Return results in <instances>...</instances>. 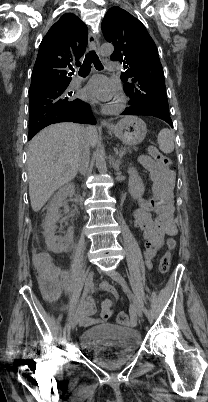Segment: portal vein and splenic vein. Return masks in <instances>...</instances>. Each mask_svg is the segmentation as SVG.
<instances>
[{
	"mask_svg": "<svg viewBox=\"0 0 208 402\" xmlns=\"http://www.w3.org/2000/svg\"><path fill=\"white\" fill-rule=\"evenodd\" d=\"M115 154L118 155L119 157H122V156H123V153H122L121 151H119V150H116V151H115Z\"/></svg>",
	"mask_w": 208,
	"mask_h": 402,
	"instance_id": "portal-vein-and-splenic-vein-1",
	"label": "portal vein and splenic vein"
}]
</instances>
